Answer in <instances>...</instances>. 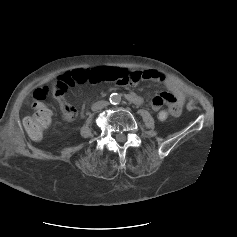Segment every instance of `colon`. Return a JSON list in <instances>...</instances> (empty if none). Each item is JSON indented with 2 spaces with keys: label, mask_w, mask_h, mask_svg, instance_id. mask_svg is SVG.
<instances>
[{
  "label": "colon",
  "mask_w": 237,
  "mask_h": 237,
  "mask_svg": "<svg viewBox=\"0 0 237 237\" xmlns=\"http://www.w3.org/2000/svg\"><path fill=\"white\" fill-rule=\"evenodd\" d=\"M133 74L118 68H97L92 70H74L60 75L52 86H44L35 90L33 98V113L27 116L23 125L33 139H40L51 123V110L46 105V99L52 93L55 96H64L70 86L77 84L114 82L120 85H128L135 82ZM64 112L70 116L76 114V108L66 103ZM172 115V111L161 110L157 117L165 122Z\"/></svg>",
  "instance_id": "1"
}]
</instances>
